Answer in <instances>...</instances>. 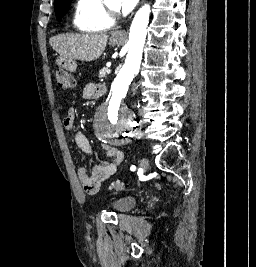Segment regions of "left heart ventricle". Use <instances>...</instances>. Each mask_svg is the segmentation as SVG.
<instances>
[{
  "label": "left heart ventricle",
  "mask_w": 256,
  "mask_h": 267,
  "mask_svg": "<svg viewBox=\"0 0 256 267\" xmlns=\"http://www.w3.org/2000/svg\"><path fill=\"white\" fill-rule=\"evenodd\" d=\"M114 4H115L114 1H111L110 5L114 6ZM112 26H113V22L109 21V22L102 25V29L103 30H109V29H111Z\"/></svg>",
  "instance_id": "obj_1"
}]
</instances>
